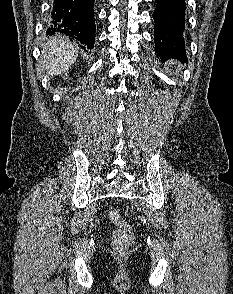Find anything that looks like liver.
Segmentation results:
<instances>
[{"label":"liver","mask_w":233,"mask_h":294,"mask_svg":"<svg viewBox=\"0 0 233 294\" xmlns=\"http://www.w3.org/2000/svg\"><path fill=\"white\" fill-rule=\"evenodd\" d=\"M78 50L70 42L51 37L43 46L39 63L47 75L55 76L67 71L76 61Z\"/></svg>","instance_id":"obj_1"}]
</instances>
